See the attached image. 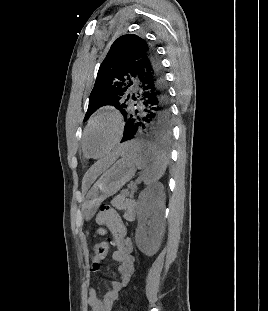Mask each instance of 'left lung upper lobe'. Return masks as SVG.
I'll return each instance as SVG.
<instances>
[{
  "label": "left lung upper lobe",
  "mask_w": 268,
  "mask_h": 311,
  "mask_svg": "<svg viewBox=\"0 0 268 311\" xmlns=\"http://www.w3.org/2000/svg\"><path fill=\"white\" fill-rule=\"evenodd\" d=\"M151 50L148 42L135 34L114 41L100 65L84 121L104 105L117 108L126 121L133 112L131 91L136 86L139 65L148 59Z\"/></svg>",
  "instance_id": "left-lung-upper-lobe-1"
}]
</instances>
